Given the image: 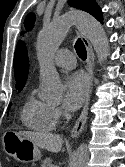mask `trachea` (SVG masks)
Listing matches in <instances>:
<instances>
[{"label": "trachea", "instance_id": "obj_1", "mask_svg": "<svg viewBox=\"0 0 125 167\" xmlns=\"http://www.w3.org/2000/svg\"><path fill=\"white\" fill-rule=\"evenodd\" d=\"M75 50L78 54V56L85 60L87 58V51H86V48H85V45L84 43L82 42L81 39H78L75 43Z\"/></svg>", "mask_w": 125, "mask_h": 167}]
</instances>
